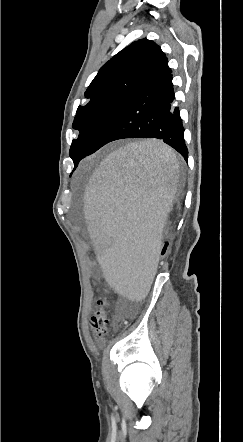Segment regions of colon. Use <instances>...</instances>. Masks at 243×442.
Listing matches in <instances>:
<instances>
[{
    "label": "colon",
    "instance_id": "colon-1",
    "mask_svg": "<svg viewBox=\"0 0 243 442\" xmlns=\"http://www.w3.org/2000/svg\"><path fill=\"white\" fill-rule=\"evenodd\" d=\"M161 242L162 248L157 260L158 262L163 263L165 262L170 251V239L169 237L164 236L162 237ZM102 295L104 299H97L95 301V306L98 308V310L90 319L91 329L98 340H104L107 334L109 324L107 307L109 306L110 299L112 298L113 294L111 290H104Z\"/></svg>",
    "mask_w": 243,
    "mask_h": 442
}]
</instances>
